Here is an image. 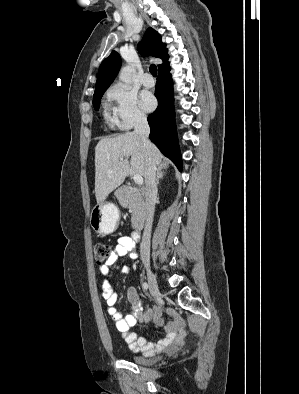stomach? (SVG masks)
Returning a JSON list of instances; mask_svg holds the SVG:
<instances>
[{
	"mask_svg": "<svg viewBox=\"0 0 299 394\" xmlns=\"http://www.w3.org/2000/svg\"><path fill=\"white\" fill-rule=\"evenodd\" d=\"M119 218L120 214L117 206L103 201L92 209L90 224L95 232L108 235L117 229Z\"/></svg>",
	"mask_w": 299,
	"mask_h": 394,
	"instance_id": "stomach-1",
	"label": "stomach"
}]
</instances>
